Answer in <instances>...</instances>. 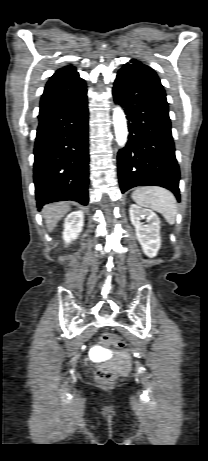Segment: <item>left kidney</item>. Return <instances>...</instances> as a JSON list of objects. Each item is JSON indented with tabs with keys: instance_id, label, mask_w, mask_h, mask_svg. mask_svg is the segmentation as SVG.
Returning a JSON list of instances; mask_svg holds the SVG:
<instances>
[{
	"instance_id": "5707ae66",
	"label": "left kidney",
	"mask_w": 208,
	"mask_h": 461,
	"mask_svg": "<svg viewBox=\"0 0 208 461\" xmlns=\"http://www.w3.org/2000/svg\"><path fill=\"white\" fill-rule=\"evenodd\" d=\"M130 220L135 227L137 239L143 252L150 258L155 257L161 246L160 219L152 210L132 204L129 208ZM146 218L148 224L141 220Z\"/></svg>"
}]
</instances>
